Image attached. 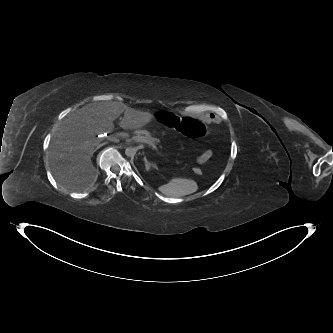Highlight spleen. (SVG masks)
<instances>
[{"instance_id":"obj_1","label":"spleen","mask_w":333,"mask_h":333,"mask_svg":"<svg viewBox=\"0 0 333 333\" xmlns=\"http://www.w3.org/2000/svg\"><path fill=\"white\" fill-rule=\"evenodd\" d=\"M158 190L168 197H182L198 190L194 180L185 178H173L170 182L159 186Z\"/></svg>"}]
</instances>
